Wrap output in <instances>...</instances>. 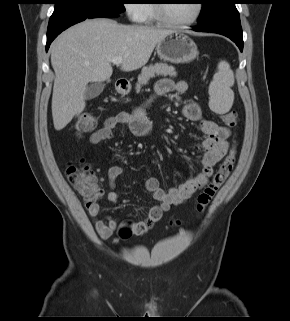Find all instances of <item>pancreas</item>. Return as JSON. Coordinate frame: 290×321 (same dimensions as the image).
Returning a JSON list of instances; mask_svg holds the SVG:
<instances>
[{"instance_id":"pancreas-1","label":"pancreas","mask_w":290,"mask_h":321,"mask_svg":"<svg viewBox=\"0 0 290 321\" xmlns=\"http://www.w3.org/2000/svg\"><path fill=\"white\" fill-rule=\"evenodd\" d=\"M156 75L175 77L177 73L173 66H169L166 63H156L155 65L144 67L138 76L136 90H140L143 85H146Z\"/></svg>"}]
</instances>
